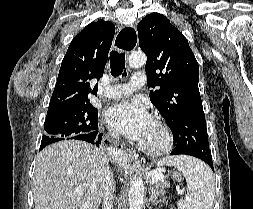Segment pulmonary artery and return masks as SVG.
Returning <instances> with one entry per match:
<instances>
[{"mask_svg": "<svg viewBox=\"0 0 253 209\" xmlns=\"http://www.w3.org/2000/svg\"><path fill=\"white\" fill-rule=\"evenodd\" d=\"M145 83V73L137 71L133 74L130 83L111 85L105 89L104 94L108 98H123L130 95L133 91L142 88Z\"/></svg>", "mask_w": 253, "mask_h": 209, "instance_id": "1", "label": "pulmonary artery"}]
</instances>
